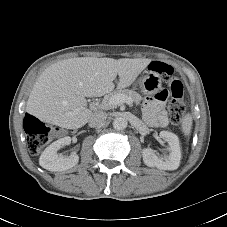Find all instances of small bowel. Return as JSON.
<instances>
[{
	"mask_svg": "<svg viewBox=\"0 0 227 227\" xmlns=\"http://www.w3.org/2000/svg\"><path fill=\"white\" fill-rule=\"evenodd\" d=\"M169 96L170 91L168 89L159 88L154 94V98H146L144 103L145 114L151 125L165 126L167 124L168 120L163 106Z\"/></svg>",
	"mask_w": 227,
	"mask_h": 227,
	"instance_id": "c3829d8e",
	"label": "small bowel"
}]
</instances>
